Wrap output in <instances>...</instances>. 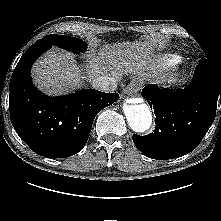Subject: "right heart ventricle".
Wrapping results in <instances>:
<instances>
[{"instance_id":"right-heart-ventricle-1","label":"right heart ventricle","mask_w":221,"mask_h":221,"mask_svg":"<svg viewBox=\"0 0 221 221\" xmlns=\"http://www.w3.org/2000/svg\"><path fill=\"white\" fill-rule=\"evenodd\" d=\"M182 61V58L177 54H168L159 58L158 63L161 67L171 68L178 65Z\"/></svg>"}]
</instances>
